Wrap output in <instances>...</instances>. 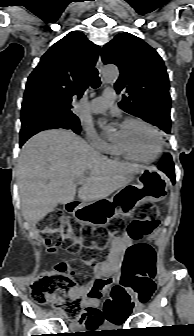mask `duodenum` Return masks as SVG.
Listing matches in <instances>:
<instances>
[{
	"label": "duodenum",
	"mask_w": 194,
	"mask_h": 336,
	"mask_svg": "<svg viewBox=\"0 0 194 336\" xmlns=\"http://www.w3.org/2000/svg\"><path fill=\"white\" fill-rule=\"evenodd\" d=\"M77 206L76 202H70L67 206L68 210L72 211Z\"/></svg>",
	"instance_id": "1"
}]
</instances>
